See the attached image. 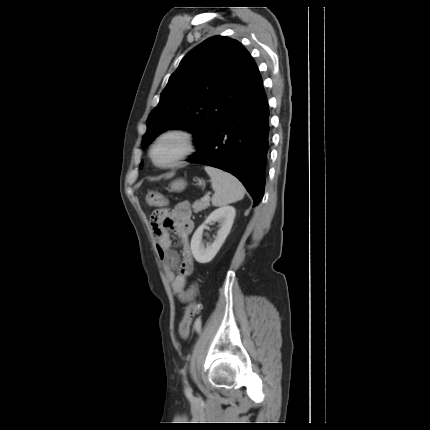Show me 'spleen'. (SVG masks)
I'll list each match as a JSON object with an SVG mask.
<instances>
[{"label":"spleen","instance_id":"1","mask_svg":"<svg viewBox=\"0 0 430 430\" xmlns=\"http://www.w3.org/2000/svg\"><path fill=\"white\" fill-rule=\"evenodd\" d=\"M204 169L210 176L215 191L211 198L214 206H226L244 198L245 188L234 175L213 166H205Z\"/></svg>","mask_w":430,"mask_h":430}]
</instances>
